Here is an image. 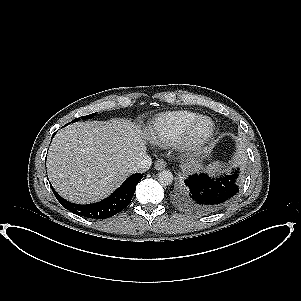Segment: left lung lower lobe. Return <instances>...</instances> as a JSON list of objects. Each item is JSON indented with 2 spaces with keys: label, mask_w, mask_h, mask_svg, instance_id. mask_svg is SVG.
I'll list each match as a JSON object with an SVG mask.
<instances>
[{
  "label": "left lung lower lobe",
  "mask_w": 301,
  "mask_h": 301,
  "mask_svg": "<svg viewBox=\"0 0 301 301\" xmlns=\"http://www.w3.org/2000/svg\"><path fill=\"white\" fill-rule=\"evenodd\" d=\"M184 183L176 195L177 202L189 210L206 214L222 209L235 199L241 188L242 175L239 169L232 175L215 179L207 174H195Z\"/></svg>",
  "instance_id": "left-lung-lower-lobe-1"
}]
</instances>
